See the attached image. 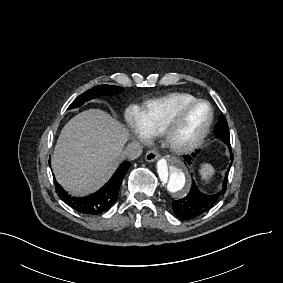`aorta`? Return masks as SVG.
<instances>
[{
    "instance_id": "762f6f07",
    "label": "aorta",
    "mask_w": 283,
    "mask_h": 283,
    "mask_svg": "<svg viewBox=\"0 0 283 283\" xmlns=\"http://www.w3.org/2000/svg\"><path fill=\"white\" fill-rule=\"evenodd\" d=\"M157 180L162 194L176 199L187 195L191 179L186 165L179 158L168 155L157 162Z\"/></svg>"
}]
</instances>
